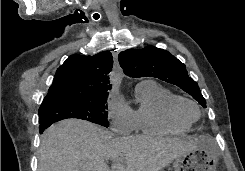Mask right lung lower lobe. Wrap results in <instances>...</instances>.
Here are the masks:
<instances>
[{
    "label": "right lung lower lobe",
    "mask_w": 245,
    "mask_h": 171,
    "mask_svg": "<svg viewBox=\"0 0 245 171\" xmlns=\"http://www.w3.org/2000/svg\"><path fill=\"white\" fill-rule=\"evenodd\" d=\"M52 123L48 122V123H42L40 124V133H42L47 127H49Z\"/></svg>",
    "instance_id": "obj_1"
}]
</instances>
